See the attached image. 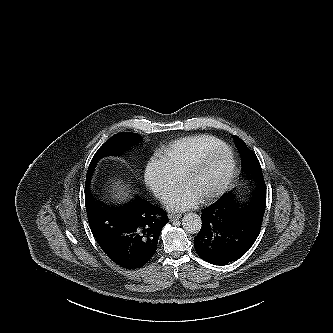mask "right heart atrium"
Wrapping results in <instances>:
<instances>
[{"label":"right heart atrium","mask_w":333,"mask_h":333,"mask_svg":"<svg viewBox=\"0 0 333 333\" xmlns=\"http://www.w3.org/2000/svg\"><path fill=\"white\" fill-rule=\"evenodd\" d=\"M179 181L160 154L149 158L144 169V183L156 197H164Z\"/></svg>","instance_id":"1"}]
</instances>
